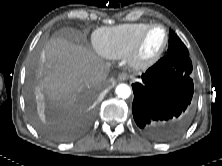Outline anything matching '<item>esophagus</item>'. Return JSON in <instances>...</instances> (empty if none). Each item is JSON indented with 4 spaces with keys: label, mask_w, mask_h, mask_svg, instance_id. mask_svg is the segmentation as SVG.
I'll list each match as a JSON object with an SVG mask.
<instances>
[{
    "label": "esophagus",
    "mask_w": 222,
    "mask_h": 166,
    "mask_svg": "<svg viewBox=\"0 0 222 166\" xmlns=\"http://www.w3.org/2000/svg\"><path fill=\"white\" fill-rule=\"evenodd\" d=\"M128 74L127 73H120L119 75H118V80L119 81H125V80H127L128 79Z\"/></svg>",
    "instance_id": "obj_1"
}]
</instances>
